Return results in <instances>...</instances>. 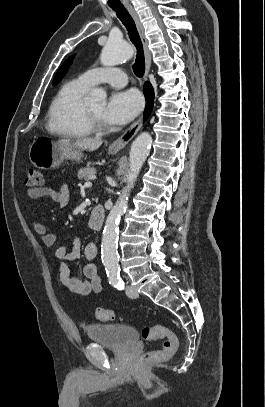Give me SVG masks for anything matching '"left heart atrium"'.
Segmentation results:
<instances>
[{
	"mask_svg": "<svg viewBox=\"0 0 265 407\" xmlns=\"http://www.w3.org/2000/svg\"><path fill=\"white\" fill-rule=\"evenodd\" d=\"M142 98L134 90L113 93L104 110V120L111 125H123L131 121L142 109Z\"/></svg>",
	"mask_w": 265,
	"mask_h": 407,
	"instance_id": "obj_1",
	"label": "left heart atrium"
}]
</instances>
